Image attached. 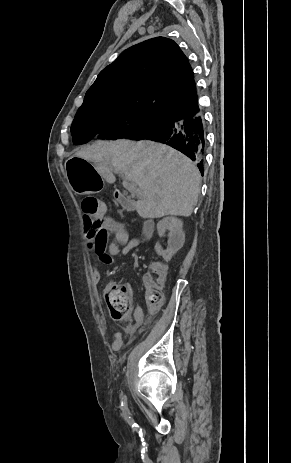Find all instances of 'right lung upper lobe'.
<instances>
[{"mask_svg": "<svg viewBox=\"0 0 291 463\" xmlns=\"http://www.w3.org/2000/svg\"><path fill=\"white\" fill-rule=\"evenodd\" d=\"M111 104L195 117L200 109L188 58L165 37L126 49L99 73L79 109Z\"/></svg>", "mask_w": 291, "mask_h": 463, "instance_id": "cb5924a9", "label": "right lung upper lobe"}]
</instances>
